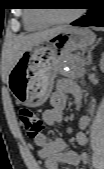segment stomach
I'll use <instances>...</instances> for the list:
<instances>
[{
  "label": "stomach",
  "instance_id": "0dacf381",
  "mask_svg": "<svg viewBox=\"0 0 104 169\" xmlns=\"http://www.w3.org/2000/svg\"><path fill=\"white\" fill-rule=\"evenodd\" d=\"M89 29L68 27L26 50L12 67L8 86L16 101L28 107L42 105L50 96L64 58L95 42Z\"/></svg>",
  "mask_w": 104,
  "mask_h": 169
}]
</instances>
